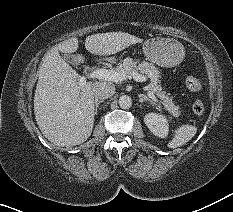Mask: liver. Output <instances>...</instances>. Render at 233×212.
<instances>
[{
	"mask_svg": "<svg viewBox=\"0 0 233 212\" xmlns=\"http://www.w3.org/2000/svg\"><path fill=\"white\" fill-rule=\"evenodd\" d=\"M142 39L124 32L90 35L85 48L91 54H116ZM78 39L72 37L50 49L40 63L39 78L34 95V114L42 134L56 146H75L86 141L92 133L95 101L92 86L97 82L80 84L79 74L60 56L59 52L74 53ZM77 63L84 57L74 55ZM99 83L108 84L106 80Z\"/></svg>",
	"mask_w": 233,
	"mask_h": 212,
	"instance_id": "liver-1",
	"label": "liver"
}]
</instances>
